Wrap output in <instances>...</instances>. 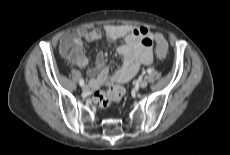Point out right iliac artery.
Returning <instances> with one entry per match:
<instances>
[{
  "label": "right iliac artery",
  "instance_id": "1",
  "mask_svg": "<svg viewBox=\"0 0 230 155\" xmlns=\"http://www.w3.org/2000/svg\"><path fill=\"white\" fill-rule=\"evenodd\" d=\"M80 86H83L84 85V80L81 79L80 82H79Z\"/></svg>",
  "mask_w": 230,
  "mask_h": 155
}]
</instances>
